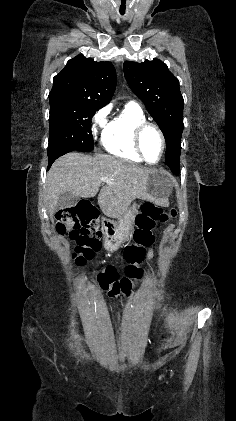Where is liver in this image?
Wrapping results in <instances>:
<instances>
[{
  "instance_id": "1",
  "label": "liver",
  "mask_w": 236,
  "mask_h": 421,
  "mask_svg": "<svg viewBox=\"0 0 236 421\" xmlns=\"http://www.w3.org/2000/svg\"><path fill=\"white\" fill-rule=\"evenodd\" d=\"M102 176L112 178L104 184ZM102 213L111 219L121 217L134 198H144L157 202L148 190V170L139 168L133 162H127L111 154H81L67 152L57 158L47 172L45 200L49 208L50 221H54L55 206L63 192H72L76 196H95Z\"/></svg>"
}]
</instances>
